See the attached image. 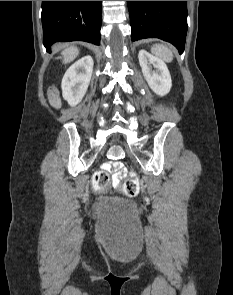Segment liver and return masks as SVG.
<instances>
[{"label": "liver", "instance_id": "liver-1", "mask_svg": "<svg viewBox=\"0 0 233 295\" xmlns=\"http://www.w3.org/2000/svg\"><path fill=\"white\" fill-rule=\"evenodd\" d=\"M79 54V50L75 46L67 47L63 52V63L67 64L72 62Z\"/></svg>", "mask_w": 233, "mask_h": 295}]
</instances>
